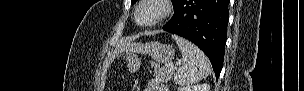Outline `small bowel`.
<instances>
[{
    "label": "small bowel",
    "instance_id": "small-bowel-1",
    "mask_svg": "<svg viewBox=\"0 0 304 91\" xmlns=\"http://www.w3.org/2000/svg\"><path fill=\"white\" fill-rule=\"evenodd\" d=\"M148 91H166L167 88L158 80H151L148 84Z\"/></svg>",
    "mask_w": 304,
    "mask_h": 91
}]
</instances>
